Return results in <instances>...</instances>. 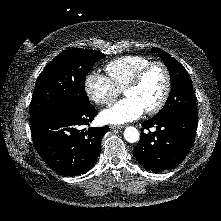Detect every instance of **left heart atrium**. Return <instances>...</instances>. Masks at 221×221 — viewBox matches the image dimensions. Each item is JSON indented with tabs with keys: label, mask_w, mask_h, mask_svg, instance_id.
<instances>
[{
	"label": "left heart atrium",
	"mask_w": 221,
	"mask_h": 221,
	"mask_svg": "<svg viewBox=\"0 0 221 221\" xmlns=\"http://www.w3.org/2000/svg\"><path fill=\"white\" fill-rule=\"evenodd\" d=\"M145 110L132 97L118 101L100 114L104 123L123 124L138 119Z\"/></svg>",
	"instance_id": "obj_1"
}]
</instances>
